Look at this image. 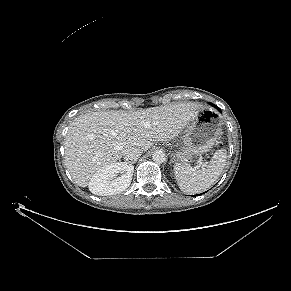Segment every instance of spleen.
Here are the masks:
<instances>
[{
	"label": "spleen",
	"instance_id": "obj_1",
	"mask_svg": "<svg viewBox=\"0 0 291 291\" xmlns=\"http://www.w3.org/2000/svg\"><path fill=\"white\" fill-rule=\"evenodd\" d=\"M227 160L226 149L214 153L206 168L198 169L188 163H177L174 174L181 191L186 194H198L209 189L224 171Z\"/></svg>",
	"mask_w": 291,
	"mask_h": 291
}]
</instances>
